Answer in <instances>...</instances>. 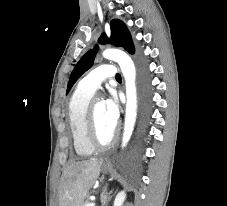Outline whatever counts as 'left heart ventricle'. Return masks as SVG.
Segmentation results:
<instances>
[{
  "instance_id": "left-heart-ventricle-1",
  "label": "left heart ventricle",
  "mask_w": 227,
  "mask_h": 206,
  "mask_svg": "<svg viewBox=\"0 0 227 206\" xmlns=\"http://www.w3.org/2000/svg\"><path fill=\"white\" fill-rule=\"evenodd\" d=\"M96 127L99 139L102 142L110 140L115 128L108 122L105 115V105L102 100H98L95 105Z\"/></svg>"
}]
</instances>
